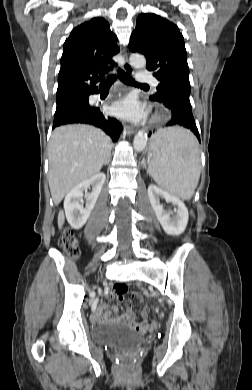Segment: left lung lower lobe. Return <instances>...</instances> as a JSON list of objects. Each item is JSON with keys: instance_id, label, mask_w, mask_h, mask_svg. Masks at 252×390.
<instances>
[{"instance_id": "obj_1", "label": "left lung lower lobe", "mask_w": 252, "mask_h": 390, "mask_svg": "<svg viewBox=\"0 0 252 390\" xmlns=\"http://www.w3.org/2000/svg\"><path fill=\"white\" fill-rule=\"evenodd\" d=\"M189 94L175 91L165 90L162 92L159 101L170 110L172 117L166 126L179 125L191 130L200 142V136L196 123L192 114V107L189 99Z\"/></svg>"}]
</instances>
